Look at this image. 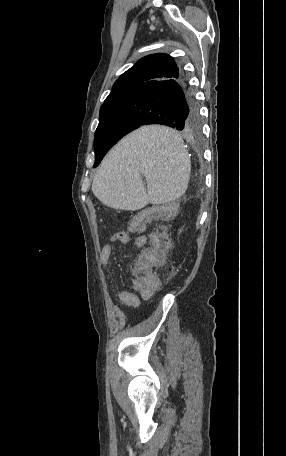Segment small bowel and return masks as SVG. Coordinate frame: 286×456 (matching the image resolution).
I'll return each instance as SVG.
<instances>
[{"label": "small bowel", "instance_id": "c3829d8e", "mask_svg": "<svg viewBox=\"0 0 286 456\" xmlns=\"http://www.w3.org/2000/svg\"><path fill=\"white\" fill-rule=\"evenodd\" d=\"M114 241H120L126 243L129 240V235L126 232H123V235L119 239H113ZM147 243V236L139 235L135 238L134 244L137 248H142ZM113 247L111 244H105L100 250V258L104 265H109L110 259L112 257ZM133 288L142 296L144 300H150L154 296V291H145L139 290L135 287V282L133 280ZM115 294L119 302L129 308L137 309L140 305L139 296L132 291L122 290L119 287L115 286Z\"/></svg>", "mask_w": 286, "mask_h": 456}]
</instances>
